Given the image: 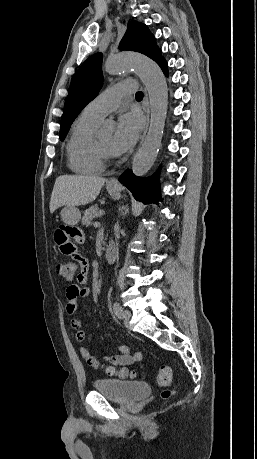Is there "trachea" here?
<instances>
[{
    "mask_svg": "<svg viewBox=\"0 0 257 459\" xmlns=\"http://www.w3.org/2000/svg\"><path fill=\"white\" fill-rule=\"evenodd\" d=\"M135 97L138 98V99H142L143 98V92H141V91L137 92Z\"/></svg>",
    "mask_w": 257,
    "mask_h": 459,
    "instance_id": "3493384b",
    "label": "trachea"
}]
</instances>
